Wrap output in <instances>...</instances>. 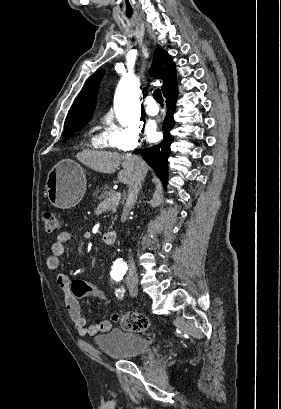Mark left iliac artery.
<instances>
[{
    "instance_id": "1",
    "label": "left iliac artery",
    "mask_w": 281,
    "mask_h": 409,
    "mask_svg": "<svg viewBox=\"0 0 281 409\" xmlns=\"http://www.w3.org/2000/svg\"><path fill=\"white\" fill-rule=\"evenodd\" d=\"M119 291H120V290L118 289L117 292H119ZM116 296H117V297H123V295H120V294H118V293H116Z\"/></svg>"
}]
</instances>
